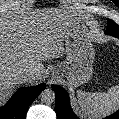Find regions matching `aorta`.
<instances>
[{
	"mask_svg": "<svg viewBox=\"0 0 119 119\" xmlns=\"http://www.w3.org/2000/svg\"><path fill=\"white\" fill-rule=\"evenodd\" d=\"M40 100L42 103H45V104L53 103L55 100V93L51 89H45L40 94Z\"/></svg>",
	"mask_w": 119,
	"mask_h": 119,
	"instance_id": "762f6f07",
	"label": "aorta"
}]
</instances>
